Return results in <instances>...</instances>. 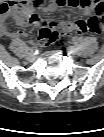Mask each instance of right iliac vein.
Returning a JSON list of instances; mask_svg holds the SVG:
<instances>
[{"instance_id": "63e3f726", "label": "right iliac vein", "mask_w": 104, "mask_h": 137, "mask_svg": "<svg viewBox=\"0 0 104 137\" xmlns=\"http://www.w3.org/2000/svg\"><path fill=\"white\" fill-rule=\"evenodd\" d=\"M26 59L29 62H33L35 60V55L32 52H30V53L27 54Z\"/></svg>"}]
</instances>
